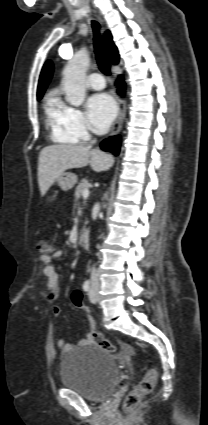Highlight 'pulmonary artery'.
<instances>
[{"label":"pulmonary artery","instance_id":"obj_1","mask_svg":"<svg viewBox=\"0 0 208 425\" xmlns=\"http://www.w3.org/2000/svg\"><path fill=\"white\" fill-rule=\"evenodd\" d=\"M87 86L94 90H101L105 87V80L100 73H91L87 78Z\"/></svg>","mask_w":208,"mask_h":425}]
</instances>
